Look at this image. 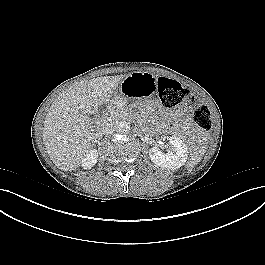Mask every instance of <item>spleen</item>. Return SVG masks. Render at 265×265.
<instances>
[{"label": "spleen", "instance_id": "3e777b00", "mask_svg": "<svg viewBox=\"0 0 265 265\" xmlns=\"http://www.w3.org/2000/svg\"><path fill=\"white\" fill-rule=\"evenodd\" d=\"M206 149H207V146L203 145L196 152L192 153L188 162H187V165L189 167H193V166L197 165L201 161V158L203 157L204 153L206 152Z\"/></svg>", "mask_w": 265, "mask_h": 265}]
</instances>
